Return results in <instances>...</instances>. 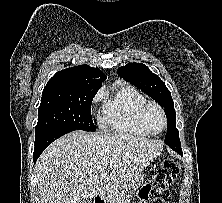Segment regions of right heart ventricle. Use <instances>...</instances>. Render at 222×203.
I'll return each mask as SVG.
<instances>
[{"label":"right heart ventricle","mask_w":222,"mask_h":203,"mask_svg":"<svg viewBox=\"0 0 222 203\" xmlns=\"http://www.w3.org/2000/svg\"><path fill=\"white\" fill-rule=\"evenodd\" d=\"M102 96L104 97L101 116L103 128L123 135L141 137L149 135L137 119L138 107L146 101L138 90L129 84L117 82Z\"/></svg>","instance_id":"obj_1"}]
</instances>
